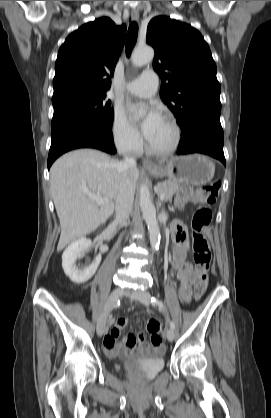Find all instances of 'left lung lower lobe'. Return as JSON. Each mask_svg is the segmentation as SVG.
Returning a JSON list of instances; mask_svg holds the SVG:
<instances>
[{"instance_id": "0a47b994", "label": "left lung lower lobe", "mask_w": 271, "mask_h": 418, "mask_svg": "<svg viewBox=\"0 0 271 418\" xmlns=\"http://www.w3.org/2000/svg\"><path fill=\"white\" fill-rule=\"evenodd\" d=\"M178 155L202 153L220 160L226 165L224 135L220 118L202 117L187 123L183 128Z\"/></svg>"}]
</instances>
